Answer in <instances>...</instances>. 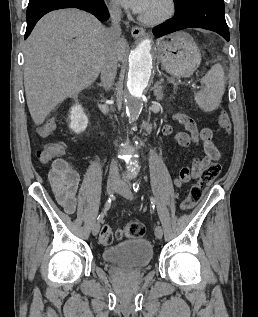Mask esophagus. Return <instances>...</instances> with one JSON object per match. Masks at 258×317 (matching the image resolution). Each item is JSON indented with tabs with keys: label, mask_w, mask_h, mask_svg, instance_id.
<instances>
[{
	"label": "esophagus",
	"mask_w": 258,
	"mask_h": 317,
	"mask_svg": "<svg viewBox=\"0 0 258 317\" xmlns=\"http://www.w3.org/2000/svg\"><path fill=\"white\" fill-rule=\"evenodd\" d=\"M131 34L134 38H141L144 36L145 30L142 27H132Z\"/></svg>",
	"instance_id": "obj_1"
}]
</instances>
